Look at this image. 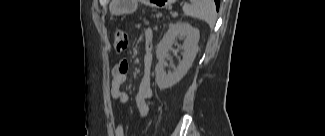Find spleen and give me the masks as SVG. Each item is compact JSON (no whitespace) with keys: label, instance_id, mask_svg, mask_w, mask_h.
I'll list each match as a JSON object with an SVG mask.
<instances>
[{"label":"spleen","instance_id":"spleen-1","mask_svg":"<svg viewBox=\"0 0 325 136\" xmlns=\"http://www.w3.org/2000/svg\"><path fill=\"white\" fill-rule=\"evenodd\" d=\"M184 14L205 21L213 28L216 22V7L213 0H192L183 6Z\"/></svg>","mask_w":325,"mask_h":136}]
</instances>
